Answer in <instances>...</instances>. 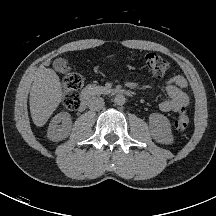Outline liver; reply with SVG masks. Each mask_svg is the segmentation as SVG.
I'll return each mask as SVG.
<instances>
[{
	"mask_svg": "<svg viewBox=\"0 0 216 216\" xmlns=\"http://www.w3.org/2000/svg\"><path fill=\"white\" fill-rule=\"evenodd\" d=\"M49 65V61L45 63ZM63 100L59 76L54 70L40 66L30 90V113L37 127L43 126Z\"/></svg>",
	"mask_w": 216,
	"mask_h": 216,
	"instance_id": "obj_1",
	"label": "liver"
}]
</instances>
